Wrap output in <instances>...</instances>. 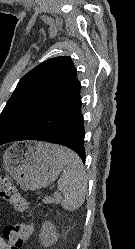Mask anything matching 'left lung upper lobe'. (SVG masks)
I'll return each mask as SVG.
<instances>
[{
    "instance_id": "1",
    "label": "left lung upper lobe",
    "mask_w": 135,
    "mask_h": 249,
    "mask_svg": "<svg viewBox=\"0 0 135 249\" xmlns=\"http://www.w3.org/2000/svg\"><path fill=\"white\" fill-rule=\"evenodd\" d=\"M80 86L69 56L48 59L23 76L0 115V143L21 131L41 109Z\"/></svg>"
}]
</instances>
